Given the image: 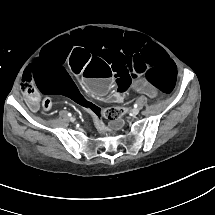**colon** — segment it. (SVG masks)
Returning <instances> with one entry per match:
<instances>
[{
  "mask_svg": "<svg viewBox=\"0 0 215 215\" xmlns=\"http://www.w3.org/2000/svg\"><path fill=\"white\" fill-rule=\"evenodd\" d=\"M42 106L45 110H50L52 106L51 99L45 98L42 102ZM90 110L96 115H100L104 118L111 119V120L119 118L125 112L123 108L112 107V108H106V109H99L93 105L90 106Z\"/></svg>",
  "mask_w": 215,
  "mask_h": 215,
  "instance_id": "obj_1",
  "label": "colon"
}]
</instances>
